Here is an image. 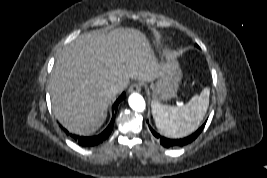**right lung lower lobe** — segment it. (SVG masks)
I'll list each match as a JSON object with an SVG mask.
<instances>
[{"label":"right lung lower lobe","mask_w":267,"mask_h":178,"mask_svg":"<svg viewBox=\"0 0 267 178\" xmlns=\"http://www.w3.org/2000/svg\"><path fill=\"white\" fill-rule=\"evenodd\" d=\"M126 94L122 93V95L116 100L113 105L112 112L114 113L120 103L125 98ZM114 125V119L112 118L108 127L99 135L91 136V137H83L78 135L70 134L68 131L65 130L66 134L76 140L82 146H95L101 142H103L111 133Z\"/></svg>","instance_id":"right-lung-lower-lobe-1"}]
</instances>
